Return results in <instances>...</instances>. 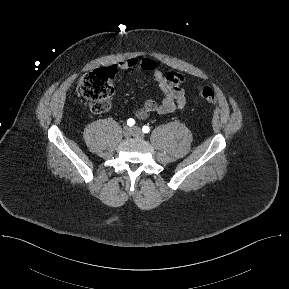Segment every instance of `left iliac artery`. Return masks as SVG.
<instances>
[{
  "label": "left iliac artery",
  "instance_id": "left-iliac-artery-1",
  "mask_svg": "<svg viewBox=\"0 0 289 289\" xmlns=\"http://www.w3.org/2000/svg\"><path fill=\"white\" fill-rule=\"evenodd\" d=\"M142 131H143L144 133H149V131H150L149 126H146V125L143 126Z\"/></svg>",
  "mask_w": 289,
  "mask_h": 289
}]
</instances>
